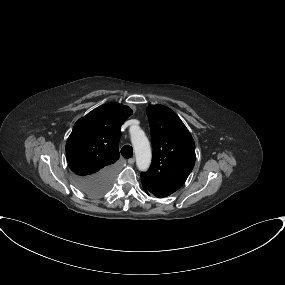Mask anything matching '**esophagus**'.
<instances>
[{"label":"esophagus","mask_w":285,"mask_h":285,"mask_svg":"<svg viewBox=\"0 0 285 285\" xmlns=\"http://www.w3.org/2000/svg\"><path fill=\"white\" fill-rule=\"evenodd\" d=\"M134 162H135V158H130V159H128V163H129V164H134Z\"/></svg>","instance_id":"34e87169"}]
</instances>
